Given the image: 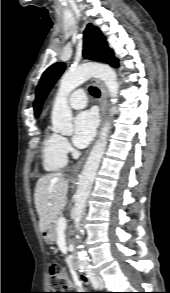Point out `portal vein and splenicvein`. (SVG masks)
<instances>
[{"mask_svg":"<svg viewBox=\"0 0 170 293\" xmlns=\"http://www.w3.org/2000/svg\"><path fill=\"white\" fill-rule=\"evenodd\" d=\"M48 205H51V203H48ZM66 226H67L66 219L63 217L59 218L57 222V230H64Z\"/></svg>","mask_w":170,"mask_h":293,"instance_id":"obj_1","label":"portal vein and splenic vein"}]
</instances>
